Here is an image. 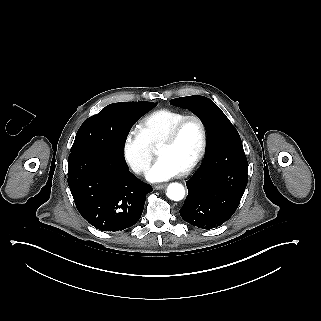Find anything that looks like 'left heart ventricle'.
I'll return each mask as SVG.
<instances>
[{
    "mask_svg": "<svg viewBox=\"0 0 321 321\" xmlns=\"http://www.w3.org/2000/svg\"><path fill=\"white\" fill-rule=\"evenodd\" d=\"M201 144V130L197 121L191 120L181 128L173 142L161 141V156H170L183 171L197 155Z\"/></svg>",
    "mask_w": 321,
    "mask_h": 321,
    "instance_id": "1",
    "label": "left heart ventricle"
}]
</instances>
